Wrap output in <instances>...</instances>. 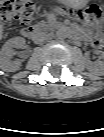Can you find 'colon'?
<instances>
[{"mask_svg":"<svg viewBox=\"0 0 104 137\" xmlns=\"http://www.w3.org/2000/svg\"><path fill=\"white\" fill-rule=\"evenodd\" d=\"M0 10L3 17L19 25L29 24L35 13V4L32 0H1ZM81 19L98 25L93 37L92 43L95 47L103 44L102 12L97 6H90L79 12Z\"/></svg>","mask_w":104,"mask_h":137,"instance_id":"1","label":"colon"}]
</instances>
